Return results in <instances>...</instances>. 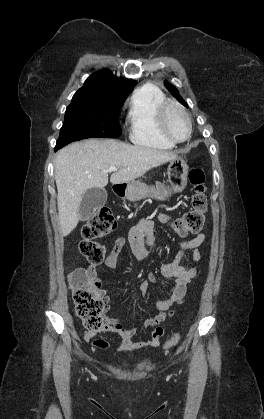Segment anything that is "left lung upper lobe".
I'll list each match as a JSON object with an SVG mask.
<instances>
[{"instance_id": "1", "label": "left lung upper lobe", "mask_w": 264, "mask_h": 419, "mask_svg": "<svg viewBox=\"0 0 264 419\" xmlns=\"http://www.w3.org/2000/svg\"><path fill=\"white\" fill-rule=\"evenodd\" d=\"M165 86L166 88L172 93L174 94V96L186 107H188L187 103L182 99V97L180 96V94L178 93V91L173 88V86L168 83L167 81H165Z\"/></svg>"}]
</instances>
